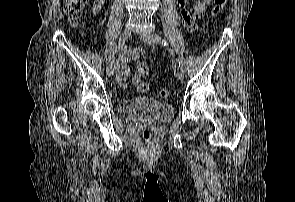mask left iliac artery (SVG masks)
Masks as SVG:
<instances>
[{"label": "left iliac artery", "instance_id": "obj_1", "mask_svg": "<svg viewBox=\"0 0 295 202\" xmlns=\"http://www.w3.org/2000/svg\"><path fill=\"white\" fill-rule=\"evenodd\" d=\"M154 39H155V41L157 42V43H160V44H162V45H164V46H167L168 44H167V41L165 40V39H163L161 36H159V35H154ZM179 68H180V70L182 71V72H184L185 71V66H184V63L182 62V61H179Z\"/></svg>", "mask_w": 295, "mask_h": 202}]
</instances>
